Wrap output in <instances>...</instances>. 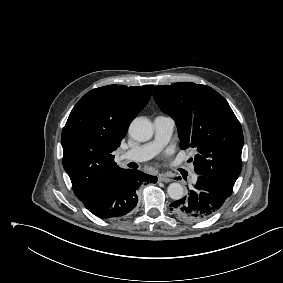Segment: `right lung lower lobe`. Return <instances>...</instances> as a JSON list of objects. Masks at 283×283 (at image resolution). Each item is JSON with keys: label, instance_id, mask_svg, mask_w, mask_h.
<instances>
[{"label": "right lung lower lobe", "instance_id": "obj_1", "mask_svg": "<svg viewBox=\"0 0 283 283\" xmlns=\"http://www.w3.org/2000/svg\"><path fill=\"white\" fill-rule=\"evenodd\" d=\"M145 181L156 183L157 177L138 170L127 169L110 185L83 204L100 218L125 216L136 206L138 201L136 191L140 184Z\"/></svg>", "mask_w": 283, "mask_h": 283}]
</instances>
